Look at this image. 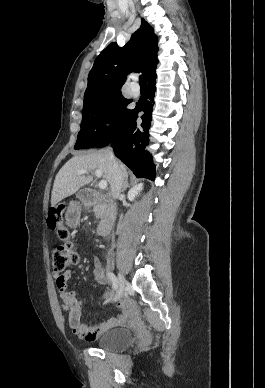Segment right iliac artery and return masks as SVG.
I'll return each mask as SVG.
<instances>
[{"label":"right iliac artery","instance_id":"right-iliac-artery-1","mask_svg":"<svg viewBox=\"0 0 265 388\" xmlns=\"http://www.w3.org/2000/svg\"><path fill=\"white\" fill-rule=\"evenodd\" d=\"M107 276L110 279V281L112 282L113 289L116 290L118 288V280H117L116 276L110 271L107 272Z\"/></svg>","mask_w":265,"mask_h":388}]
</instances>
